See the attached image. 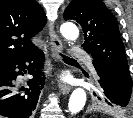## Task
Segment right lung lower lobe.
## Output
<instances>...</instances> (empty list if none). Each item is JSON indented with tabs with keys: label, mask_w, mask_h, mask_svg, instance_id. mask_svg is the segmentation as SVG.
<instances>
[{
	"label": "right lung lower lobe",
	"mask_w": 133,
	"mask_h": 118,
	"mask_svg": "<svg viewBox=\"0 0 133 118\" xmlns=\"http://www.w3.org/2000/svg\"><path fill=\"white\" fill-rule=\"evenodd\" d=\"M44 54L40 49L14 59L0 68V115L9 118H29L35 110L44 78L41 77ZM29 62L27 66L25 63ZM28 72L32 79L27 88L15 80Z\"/></svg>",
	"instance_id": "right-lung-lower-lobe-1"
}]
</instances>
